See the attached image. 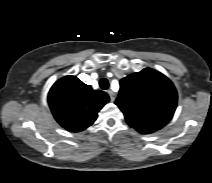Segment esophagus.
I'll return each mask as SVG.
<instances>
[{
	"instance_id": "1",
	"label": "esophagus",
	"mask_w": 212,
	"mask_h": 183,
	"mask_svg": "<svg viewBox=\"0 0 212 183\" xmlns=\"http://www.w3.org/2000/svg\"><path fill=\"white\" fill-rule=\"evenodd\" d=\"M107 93H108V95H109V97H110V100H111L112 102H114L115 99H116V94H115L113 91H111V90H108Z\"/></svg>"
}]
</instances>
